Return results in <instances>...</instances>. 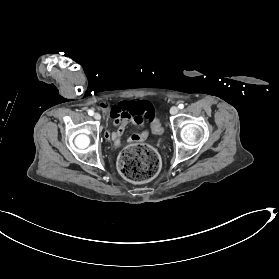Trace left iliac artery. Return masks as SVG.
I'll return each instance as SVG.
<instances>
[{"label": "left iliac artery", "instance_id": "left-iliac-artery-1", "mask_svg": "<svg viewBox=\"0 0 279 279\" xmlns=\"http://www.w3.org/2000/svg\"><path fill=\"white\" fill-rule=\"evenodd\" d=\"M180 109H183L184 108V104H179V106H178Z\"/></svg>", "mask_w": 279, "mask_h": 279}]
</instances>
